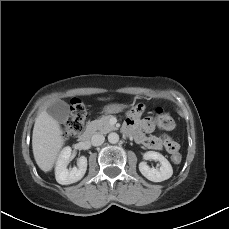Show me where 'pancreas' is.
<instances>
[{
  "label": "pancreas",
  "mask_w": 229,
  "mask_h": 229,
  "mask_svg": "<svg viewBox=\"0 0 229 229\" xmlns=\"http://www.w3.org/2000/svg\"><path fill=\"white\" fill-rule=\"evenodd\" d=\"M112 115L102 116L101 118L91 121L87 129L91 132L99 131L100 133L106 134L112 130L117 129L114 125H111L109 120Z\"/></svg>",
  "instance_id": "pancreas-1"
}]
</instances>
